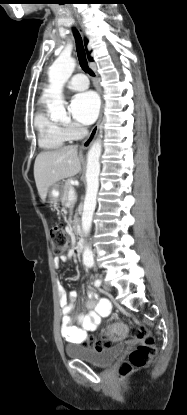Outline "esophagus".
Listing matches in <instances>:
<instances>
[{"label":"esophagus","instance_id":"esophagus-1","mask_svg":"<svg viewBox=\"0 0 187 415\" xmlns=\"http://www.w3.org/2000/svg\"><path fill=\"white\" fill-rule=\"evenodd\" d=\"M103 107H104V105L102 104L98 121L95 124V126L92 128V130H91L90 134L88 135V137L83 141V143H82L83 148H88L91 145V143L93 142V140L95 139L96 135H97L99 126L101 124L102 116H103Z\"/></svg>","mask_w":187,"mask_h":415}]
</instances>
